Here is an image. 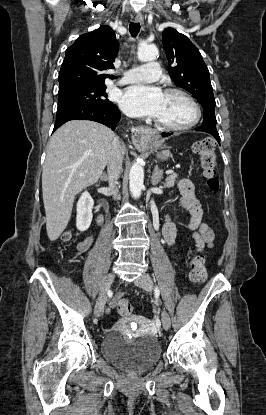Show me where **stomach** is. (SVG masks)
<instances>
[{"label": "stomach", "mask_w": 266, "mask_h": 415, "mask_svg": "<svg viewBox=\"0 0 266 415\" xmlns=\"http://www.w3.org/2000/svg\"><path fill=\"white\" fill-rule=\"evenodd\" d=\"M153 142L151 139H145L142 143L137 145V148L139 150H146L152 146ZM171 156V153L169 150H163L160 153H158L157 157L162 160H166L168 157Z\"/></svg>", "instance_id": "obj_1"}]
</instances>
